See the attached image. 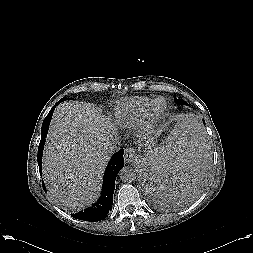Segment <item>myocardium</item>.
Segmentation results:
<instances>
[{
    "label": "myocardium",
    "instance_id": "myocardium-1",
    "mask_svg": "<svg viewBox=\"0 0 253 253\" xmlns=\"http://www.w3.org/2000/svg\"><path fill=\"white\" fill-rule=\"evenodd\" d=\"M159 100L164 101L165 108L163 112H161L160 114H157L154 112V106ZM167 112H168V104L163 97H157L155 99H152L150 103L148 104L140 123L145 129L152 128L165 118Z\"/></svg>",
    "mask_w": 253,
    "mask_h": 253
}]
</instances>
